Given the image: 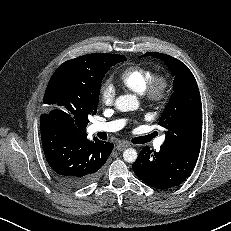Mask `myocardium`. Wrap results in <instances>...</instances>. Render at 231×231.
Listing matches in <instances>:
<instances>
[{
  "mask_svg": "<svg viewBox=\"0 0 231 231\" xmlns=\"http://www.w3.org/2000/svg\"><path fill=\"white\" fill-rule=\"evenodd\" d=\"M171 90L172 84L169 75L157 73L152 76L142 96L150 104L161 107L169 100Z\"/></svg>",
  "mask_w": 231,
  "mask_h": 231,
  "instance_id": "myocardium-1",
  "label": "myocardium"
}]
</instances>
